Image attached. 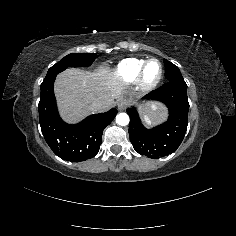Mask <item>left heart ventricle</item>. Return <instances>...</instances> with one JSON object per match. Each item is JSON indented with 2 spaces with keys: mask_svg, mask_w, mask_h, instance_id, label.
<instances>
[{
  "mask_svg": "<svg viewBox=\"0 0 236 236\" xmlns=\"http://www.w3.org/2000/svg\"><path fill=\"white\" fill-rule=\"evenodd\" d=\"M160 74H161L160 64L157 61H153L149 63L146 69L144 80L146 83H152L158 79Z\"/></svg>",
  "mask_w": 236,
  "mask_h": 236,
  "instance_id": "b2bd125f",
  "label": "left heart ventricle"
}]
</instances>
